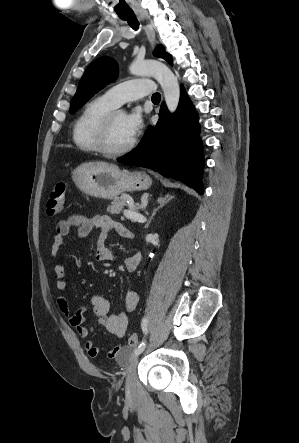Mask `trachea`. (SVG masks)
Listing matches in <instances>:
<instances>
[{
    "instance_id": "obj_1",
    "label": "trachea",
    "mask_w": 299,
    "mask_h": 443,
    "mask_svg": "<svg viewBox=\"0 0 299 443\" xmlns=\"http://www.w3.org/2000/svg\"><path fill=\"white\" fill-rule=\"evenodd\" d=\"M122 18L128 22V24L134 29L138 30L139 28V22L136 18V16L129 12V13H123ZM161 95L160 93H154L152 95V101H160Z\"/></svg>"
}]
</instances>
